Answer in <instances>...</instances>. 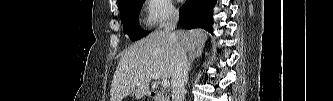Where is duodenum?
<instances>
[{
  "instance_id": "410a0bca",
  "label": "duodenum",
  "mask_w": 333,
  "mask_h": 101,
  "mask_svg": "<svg viewBox=\"0 0 333 101\" xmlns=\"http://www.w3.org/2000/svg\"><path fill=\"white\" fill-rule=\"evenodd\" d=\"M150 97L154 100V101H164V97L160 92H152L150 94Z\"/></svg>"
}]
</instances>
